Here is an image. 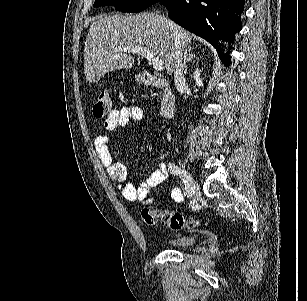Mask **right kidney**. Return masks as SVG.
Here are the masks:
<instances>
[{
  "instance_id": "obj_1",
  "label": "right kidney",
  "mask_w": 307,
  "mask_h": 301,
  "mask_svg": "<svg viewBox=\"0 0 307 301\" xmlns=\"http://www.w3.org/2000/svg\"><path fill=\"white\" fill-rule=\"evenodd\" d=\"M201 72L202 70H200V68H195L193 72V78L198 86H204L203 78H201Z\"/></svg>"
}]
</instances>
